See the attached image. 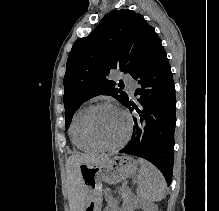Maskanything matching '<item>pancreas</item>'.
<instances>
[{
    "mask_svg": "<svg viewBox=\"0 0 219 211\" xmlns=\"http://www.w3.org/2000/svg\"><path fill=\"white\" fill-rule=\"evenodd\" d=\"M129 192H130V189L125 188V185L120 187L119 193H118V199L119 200L128 199V195H126V193H129Z\"/></svg>",
    "mask_w": 219,
    "mask_h": 211,
    "instance_id": "1",
    "label": "pancreas"
}]
</instances>
